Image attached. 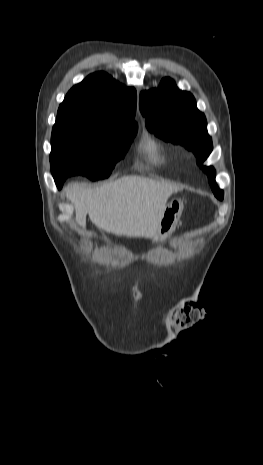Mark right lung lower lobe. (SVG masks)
Returning <instances> with one entry per match:
<instances>
[{
	"instance_id": "98d812e1",
	"label": "right lung lower lobe",
	"mask_w": 263,
	"mask_h": 465,
	"mask_svg": "<svg viewBox=\"0 0 263 465\" xmlns=\"http://www.w3.org/2000/svg\"><path fill=\"white\" fill-rule=\"evenodd\" d=\"M54 179H55V182H56L57 187L60 189V188L62 187L63 182H64V180H65L66 178L64 179V178L61 177V178H54Z\"/></svg>"
}]
</instances>
